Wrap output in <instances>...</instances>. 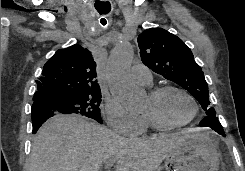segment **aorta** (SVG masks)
Wrapping results in <instances>:
<instances>
[{
    "label": "aorta",
    "mask_w": 245,
    "mask_h": 171,
    "mask_svg": "<svg viewBox=\"0 0 245 171\" xmlns=\"http://www.w3.org/2000/svg\"><path fill=\"white\" fill-rule=\"evenodd\" d=\"M133 61V49L129 42L121 41L111 51L105 73L111 93L120 100L128 111H141L145 93L129 77Z\"/></svg>",
    "instance_id": "1"
}]
</instances>
